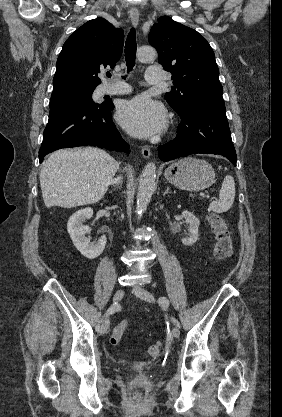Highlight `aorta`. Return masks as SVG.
Listing matches in <instances>:
<instances>
[{
	"instance_id": "762f6f07",
	"label": "aorta",
	"mask_w": 282,
	"mask_h": 417,
	"mask_svg": "<svg viewBox=\"0 0 282 417\" xmlns=\"http://www.w3.org/2000/svg\"><path fill=\"white\" fill-rule=\"evenodd\" d=\"M137 58L139 60H154L157 56L155 48L152 46H141L137 48ZM156 178V166L155 162H148L146 164L139 180L138 192H137V204L136 213L137 219L140 221L143 213H145L147 206L151 200L152 192L155 186Z\"/></svg>"
}]
</instances>
